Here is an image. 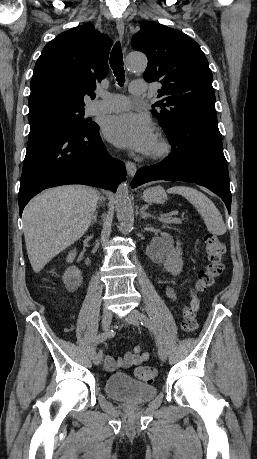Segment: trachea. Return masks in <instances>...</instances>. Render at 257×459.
I'll use <instances>...</instances> for the list:
<instances>
[{
	"label": "trachea",
	"instance_id": "3493384b",
	"mask_svg": "<svg viewBox=\"0 0 257 459\" xmlns=\"http://www.w3.org/2000/svg\"><path fill=\"white\" fill-rule=\"evenodd\" d=\"M110 66L116 76L119 86H123L125 82V74L123 68V54L121 49V44L117 42L111 52L110 56Z\"/></svg>",
	"mask_w": 257,
	"mask_h": 459
}]
</instances>
